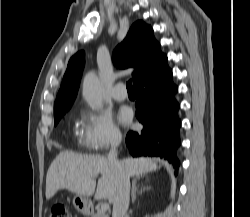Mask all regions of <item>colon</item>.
I'll use <instances>...</instances> for the list:
<instances>
[{"label": "colon", "mask_w": 250, "mask_h": 217, "mask_svg": "<svg viewBox=\"0 0 250 217\" xmlns=\"http://www.w3.org/2000/svg\"><path fill=\"white\" fill-rule=\"evenodd\" d=\"M49 217H72V214L66 205L59 203L52 206Z\"/></svg>", "instance_id": "colon-1"}]
</instances>
